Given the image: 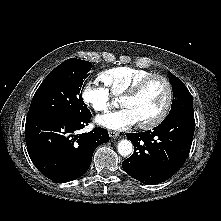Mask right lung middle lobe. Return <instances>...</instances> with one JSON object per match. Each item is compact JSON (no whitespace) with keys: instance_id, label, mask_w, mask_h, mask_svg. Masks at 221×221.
<instances>
[{"instance_id":"right-lung-middle-lobe-1","label":"right lung middle lobe","mask_w":221,"mask_h":221,"mask_svg":"<svg viewBox=\"0 0 221 221\" xmlns=\"http://www.w3.org/2000/svg\"><path fill=\"white\" fill-rule=\"evenodd\" d=\"M91 62L70 58L52 70L31 101L27 120L56 116L76 119L90 114L80 93Z\"/></svg>"}]
</instances>
